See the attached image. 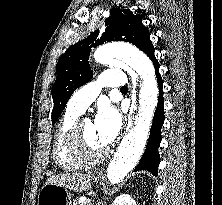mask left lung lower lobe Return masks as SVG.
<instances>
[{
  "label": "left lung lower lobe",
  "instance_id": "obj_1",
  "mask_svg": "<svg viewBox=\"0 0 222 205\" xmlns=\"http://www.w3.org/2000/svg\"><path fill=\"white\" fill-rule=\"evenodd\" d=\"M140 50H142L145 54H147V56L151 59V61L154 64L155 73L157 76V82L160 91H159L158 105L153 118L148 144L142 158L140 159V162L138 163L134 171L147 170L156 176L158 173V166L160 163V157L158 154V148L161 142L160 130L164 123V106H163L164 98L162 92L163 82L161 75L159 73V64L154 55L155 49L150 40V36L145 39Z\"/></svg>",
  "mask_w": 222,
  "mask_h": 205
}]
</instances>
